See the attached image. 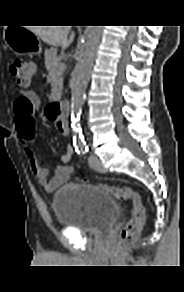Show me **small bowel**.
<instances>
[{"mask_svg":"<svg viewBox=\"0 0 184 292\" xmlns=\"http://www.w3.org/2000/svg\"><path fill=\"white\" fill-rule=\"evenodd\" d=\"M56 128L62 135H68L69 134V128L68 126L63 122H57L55 124ZM17 133L20 141L24 145L25 152L27 156L29 157V163H30V169L38 182L47 190V191H54L66 182H68L73 174L74 170L71 166L67 165V163L70 161L71 156L73 154V147L71 145H68L66 148V152L60 156L59 160L62 163L59 165L53 176L49 177V172L46 168L42 167L37 158L34 155L33 149H32V142L34 140V131L31 138H29L27 135H25L17 126Z\"/></svg>","mask_w":184,"mask_h":292,"instance_id":"obj_1","label":"small bowel"}]
</instances>
